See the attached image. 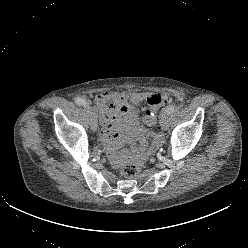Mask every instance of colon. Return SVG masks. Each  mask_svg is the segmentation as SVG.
<instances>
[{
    "label": "colon",
    "mask_w": 248,
    "mask_h": 248,
    "mask_svg": "<svg viewBox=\"0 0 248 248\" xmlns=\"http://www.w3.org/2000/svg\"><path fill=\"white\" fill-rule=\"evenodd\" d=\"M169 102V98L164 95H151L147 100V106L144 110L143 122L147 126H153L156 123V115L155 111L158 107L167 104ZM141 168L136 163H130L123 167L122 174L127 178L136 177Z\"/></svg>",
    "instance_id": "5ec220e1"
}]
</instances>
